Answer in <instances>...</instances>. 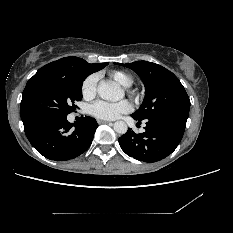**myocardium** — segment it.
Wrapping results in <instances>:
<instances>
[{
  "label": "myocardium",
  "instance_id": "1",
  "mask_svg": "<svg viewBox=\"0 0 233 233\" xmlns=\"http://www.w3.org/2000/svg\"><path fill=\"white\" fill-rule=\"evenodd\" d=\"M130 94L133 95V96H136V98H137V93H136V91H134V90H133V91H130Z\"/></svg>",
  "mask_w": 233,
  "mask_h": 233
}]
</instances>
